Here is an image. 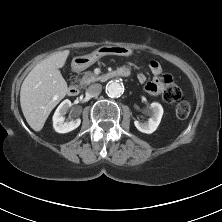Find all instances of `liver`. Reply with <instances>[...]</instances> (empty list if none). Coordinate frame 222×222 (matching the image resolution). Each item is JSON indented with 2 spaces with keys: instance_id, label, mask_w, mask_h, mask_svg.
<instances>
[{
  "instance_id": "liver-1",
  "label": "liver",
  "mask_w": 222,
  "mask_h": 222,
  "mask_svg": "<svg viewBox=\"0 0 222 222\" xmlns=\"http://www.w3.org/2000/svg\"><path fill=\"white\" fill-rule=\"evenodd\" d=\"M69 53L64 50L50 55L38 63L22 83L20 105L34 131L42 130L49 114L68 91L59 68L65 65Z\"/></svg>"
}]
</instances>
